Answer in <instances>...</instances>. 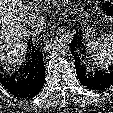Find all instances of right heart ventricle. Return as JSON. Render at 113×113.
<instances>
[{
  "label": "right heart ventricle",
  "instance_id": "1",
  "mask_svg": "<svg viewBox=\"0 0 113 113\" xmlns=\"http://www.w3.org/2000/svg\"><path fill=\"white\" fill-rule=\"evenodd\" d=\"M32 1H34L36 4H39V5H50L60 0H32Z\"/></svg>",
  "mask_w": 113,
  "mask_h": 113
}]
</instances>
